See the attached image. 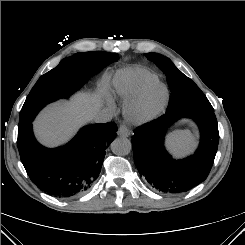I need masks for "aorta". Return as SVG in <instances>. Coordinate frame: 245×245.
Listing matches in <instances>:
<instances>
[{
    "label": "aorta",
    "instance_id": "762f6f07",
    "mask_svg": "<svg viewBox=\"0 0 245 245\" xmlns=\"http://www.w3.org/2000/svg\"><path fill=\"white\" fill-rule=\"evenodd\" d=\"M132 149V145L127 138H116L111 143V150L114 154L119 156L128 155Z\"/></svg>",
    "mask_w": 245,
    "mask_h": 245
}]
</instances>
